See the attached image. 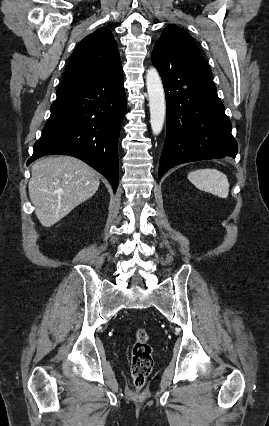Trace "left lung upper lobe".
I'll return each mask as SVG.
<instances>
[{
  "label": "left lung upper lobe",
  "instance_id": "left-lung-upper-lobe-1",
  "mask_svg": "<svg viewBox=\"0 0 269 426\" xmlns=\"http://www.w3.org/2000/svg\"><path fill=\"white\" fill-rule=\"evenodd\" d=\"M155 44L202 55L193 38L186 31L175 25L167 26Z\"/></svg>",
  "mask_w": 269,
  "mask_h": 426
}]
</instances>
